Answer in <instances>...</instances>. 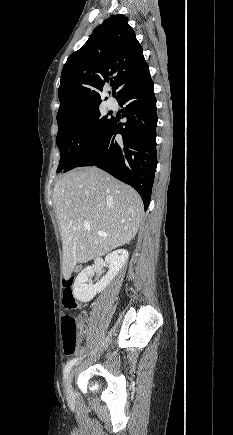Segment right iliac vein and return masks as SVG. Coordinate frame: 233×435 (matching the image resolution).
Segmentation results:
<instances>
[{
	"mask_svg": "<svg viewBox=\"0 0 233 435\" xmlns=\"http://www.w3.org/2000/svg\"><path fill=\"white\" fill-rule=\"evenodd\" d=\"M72 376L73 372L70 373L66 383V395L68 399L72 397Z\"/></svg>",
	"mask_w": 233,
	"mask_h": 435,
	"instance_id": "obj_1",
	"label": "right iliac vein"
}]
</instances>
